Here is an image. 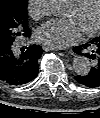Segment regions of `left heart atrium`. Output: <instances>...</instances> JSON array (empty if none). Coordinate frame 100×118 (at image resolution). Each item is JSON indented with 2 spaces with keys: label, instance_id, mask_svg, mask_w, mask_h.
<instances>
[{
  "label": "left heart atrium",
  "instance_id": "left-heart-atrium-1",
  "mask_svg": "<svg viewBox=\"0 0 100 118\" xmlns=\"http://www.w3.org/2000/svg\"><path fill=\"white\" fill-rule=\"evenodd\" d=\"M83 31L73 18L52 19L38 28L36 36L42 43L52 47H66L76 43Z\"/></svg>",
  "mask_w": 100,
  "mask_h": 118
}]
</instances>
